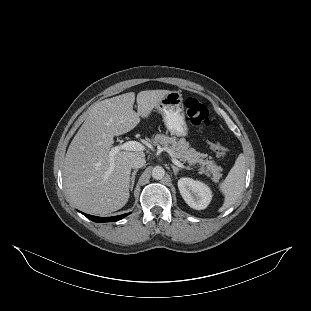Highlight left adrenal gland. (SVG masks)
Instances as JSON below:
<instances>
[{
  "mask_svg": "<svg viewBox=\"0 0 311 311\" xmlns=\"http://www.w3.org/2000/svg\"><path fill=\"white\" fill-rule=\"evenodd\" d=\"M171 167H172V169H173L174 175L177 176V175L179 174V172H180V169L177 168V167L174 166V165H171Z\"/></svg>",
  "mask_w": 311,
  "mask_h": 311,
  "instance_id": "1",
  "label": "left adrenal gland"
}]
</instances>
